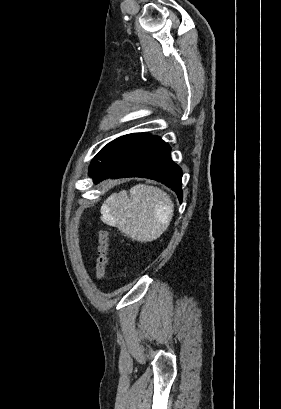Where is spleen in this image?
Instances as JSON below:
<instances>
[{
  "label": "spleen",
  "mask_w": 281,
  "mask_h": 409,
  "mask_svg": "<svg viewBox=\"0 0 281 409\" xmlns=\"http://www.w3.org/2000/svg\"><path fill=\"white\" fill-rule=\"evenodd\" d=\"M173 202L164 190L149 184H135L127 190L112 192L100 209L101 221L117 227L132 241L150 243L163 235L173 217Z\"/></svg>",
  "instance_id": "spleen-1"
}]
</instances>
